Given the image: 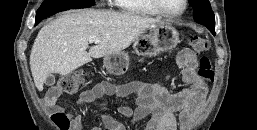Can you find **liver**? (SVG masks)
Instances as JSON below:
<instances>
[{
  "label": "liver",
  "mask_w": 257,
  "mask_h": 130,
  "mask_svg": "<svg viewBox=\"0 0 257 130\" xmlns=\"http://www.w3.org/2000/svg\"><path fill=\"white\" fill-rule=\"evenodd\" d=\"M158 18L100 10L69 11L44 25L30 54V69L41 91L48 76L67 75L92 58L120 52L148 28L162 23ZM98 41L89 52V44Z\"/></svg>",
  "instance_id": "6515ba94"
}]
</instances>
